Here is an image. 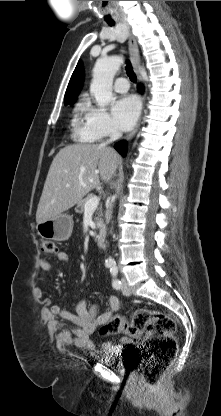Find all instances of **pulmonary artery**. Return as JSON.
Instances as JSON below:
<instances>
[{
  "instance_id": "pulmonary-artery-1",
  "label": "pulmonary artery",
  "mask_w": 221,
  "mask_h": 416,
  "mask_svg": "<svg viewBox=\"0 0 221 416\" xmlns=\"http://www.w3.org/2000/svg\"><path fill=\"white\" fill-rule=\"evenodd\" d=\"M113 88L118 93H126L129 90V82L124 77H119L115 80Z\"/></svg>"
}]
</instances>
